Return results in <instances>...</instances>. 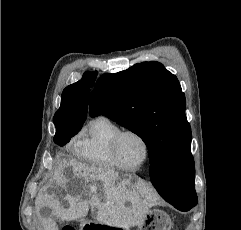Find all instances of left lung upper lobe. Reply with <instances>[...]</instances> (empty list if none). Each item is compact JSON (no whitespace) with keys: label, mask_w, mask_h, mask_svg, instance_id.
Instances as JSON below:
<instances>
[{"label":"left lung upper lobe","mask_w":241,"mask_h":230,"mask_svg":"<svg viewBox=\"0 0 241 230\" xmlns=\"http://www.w3.org/2000/svg\"><path fill=\"white\" fill-rule=\"evenodd\" d=\"M185 95L178 79L159 62H142L125 71L102 75L90 100V115H104L145 142L149 160H163L166 200L192 203L195 166Z\"/></svg>","instance_id":"obj_1"}]
</instances>
